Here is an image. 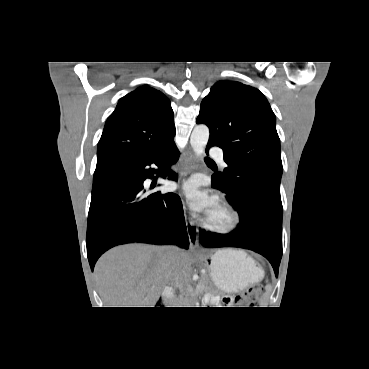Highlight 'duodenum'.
<instances>
[{
  "label": "duodenum",
  "mask_w": 369,
  "mask_h": 369,
  "mask_svg": "<svg viewBox=\"0 0 369 369\" xmlns=\"http://www.w3.org/2000/svg\"><path fill=\"white\" fill-rule=\"evenodd\" d=\"M174 292L171 288H166L163 291L162 298L165 302H170L173 299Z\"/></svg>",
  "instance_id": "410a0bca"
}]
</instances>
